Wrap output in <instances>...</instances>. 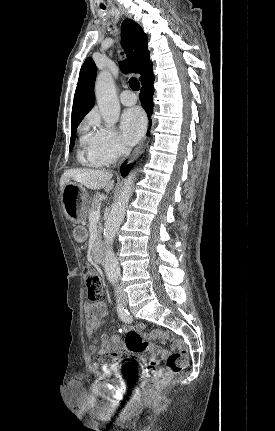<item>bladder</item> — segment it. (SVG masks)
Listing matches in <instances>:
<instances>
[{
  "label": "bladder",
  "mask_w": 275,
  "mask_h": 431,
  "mask_svg": "<svg viewBox=\"0 0 275 431\" xmlns=\"http://www.w3.org/2000/svg\"><path fill=\"white\" fill-rule=\"evenodd\" d=\"M132 372L131 364L119 363L108 366L100 376H112L118 378L122 382H127V374Z\"/></svg>",
  "instance_id": "1"
}]
</instances>
